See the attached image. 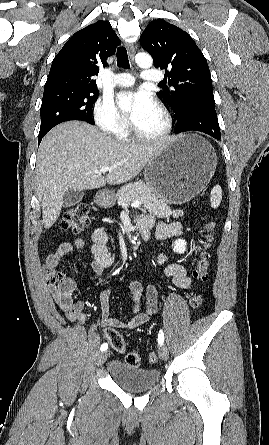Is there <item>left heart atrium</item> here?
Returning a JSON list of instances; mask_svg holds the SVG:
<instances>
[{
  "mask_svg": "<svg viewBox=\"0 0 269 445\" xmlns=\"http://www.w3.org/2000/svg\"><path fill=\"white\" fill-rule=\"evenodd\" d=\"M129 97L131 99V110L129 116L134 124L140 121L156 107L152 96L147 92H132L129 94Z\"/></svg>",
  "mask_w": 269,
  "mask_h": 445,
  "instance_id": "39dd6f15",
  "label": "left heart atrium"
}]
</instances>
